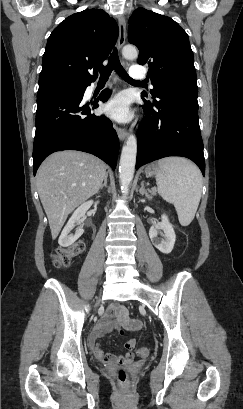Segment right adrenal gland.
I'll use <instances>...</instances> for the list:
<instances>
[{"label":"right adrenal gland","instance_id":"1","mask_svg":"<svg viewBox=\"0 0 243 409\" xmlns=\"http://www.w3.org/2000/svg\"><path fill=\"white\" fill-rule=\"evenodd\" d=\"M107 179H108V173L105 174L104 177V183L101 185L100 190H102L104 187H107Z\"/></svg>","mask_w":243,"mask_h":409}]
</instances>
